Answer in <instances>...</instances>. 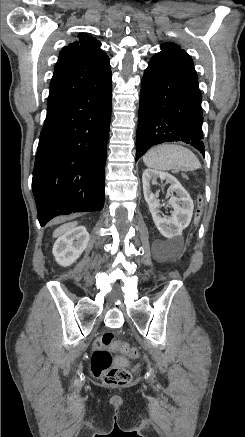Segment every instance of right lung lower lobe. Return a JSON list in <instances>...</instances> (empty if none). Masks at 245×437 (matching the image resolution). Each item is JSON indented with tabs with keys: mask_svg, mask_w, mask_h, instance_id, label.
Masks as SVG:
<instances>
[{
	"mask_svg": "<svg viewBox=\"0 0 245 437\" xmlns=\"http://www.w3.org/2000/svg\"><path fill=\"white\" fill-rule=\"evenodd\" d=\"M112 76L102 86L47 104L32 190L44 226L58 215L103 209Z\"/></svg>",
	"mask_w": 245,
	"mask_h": 437,
	"instance_id": "1",
	"label": "right lung lower lobe"
}]
</instances>
